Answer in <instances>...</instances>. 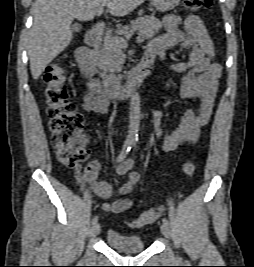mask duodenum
I'll use <instances>...</instances> for the list:
<instances>
[{
	"mask_svg": "<svg viewBox=\"0 0 254 267\" xmlns=\"http://www.w3.org/2000/svg\"><path fill=\"white\" fill-rule=\"evenodd\" d=\"M104 24L98 23L86 34V47H80L75 53V61L86 78L93 80L99 76L101 81L96 85V92L110 100L128 96L133 89L148 77L153 69V59L145 56L141 63L121 81L111 72L100 71L90 58V48L97 47L102 42Z\"/></svg>",
	"mask_w": 254,
	"mask_h": 267,
	"instance_id": "1",
	"label": "duodenum"
}]
</instances>
